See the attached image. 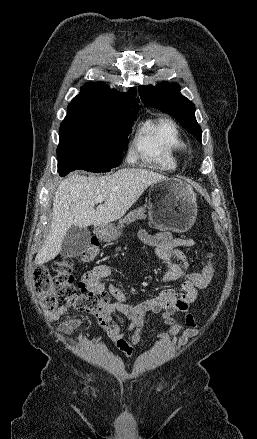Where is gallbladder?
Wrapping results in <instances>:
<instances>
[{"instance_id": "bac80fb5", "label": "gallbladder", "mask_w": 257, "mask_h": 439, "mask_svg": "<svg viewBox=\"0 0 257 439\" xmlns=\"http://www.w3.org/2000/svg\"><path fill=\"white\" fill-rule=\"evenodd\" d=\"M90 238L88 228L72 226L62 241L61 254L65 257L79 256L88 246Z\"/></svg>"}]
</instances>
